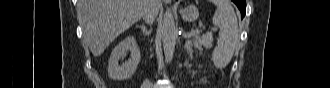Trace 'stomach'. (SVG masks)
<instances>
[{
	"mask_svg": "<svg viewBox=\"0 0 330 88\" xmlns=\"http://www.w3.org/2000/svg\"><path fill=\"white\" fill-rule=\"evenodd\" d=\"M180 14L188 22H193L199 17V11L195 5H189L184 9H180Z\"/></svg>",
	"mask_w": 330,
	"mask_h": 88,
	"instance_id": "stomach-1",
	"label": "stomach"
}]
</instances>
